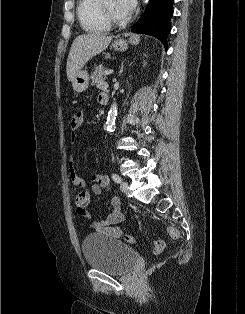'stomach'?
Returning <instances> with one entry per match:
<instances>
[{"instance_id":"0dacf381","label":"stomach","mask_w":245,"mask_h":314,"mask_svg":"<svg viewBox=\"0 0 245 314\" xmlns=\"http://www.w3.org/2000/svg\"><path fill=\"white\" fill-rule=\"evenodd\" d=\"M140 39L136 36H131L128 41L124 39H119L115 41L112 45L115 51H126L128 49V44H138ZM89 85V74L86 70H80L74 79L72 80V87L75 92L81 93L84 92Z\"/></svg>"}]
</instances>
